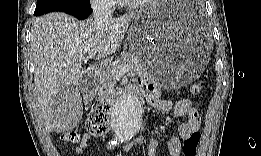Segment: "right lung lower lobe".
I'll return each instance as SVG.
<instances>
[{
	"mask_svg": "<svg viewBox=\"0 0 261 156\" xmlns=\"http://www.w3.org/2000/svg\"><path fill=\"white\" fill-rule=\"evenodd\" d=\"M91 12H92L91 7H77L74 10H71L66 13L73 15L80 19H85L91 14Z\"/></svg>",
	"mask_w": 261,
	"mask_h": 156,
	"instance_id": "obj_1",
	"label": "right lung lower lobe"
}]
</instances>
